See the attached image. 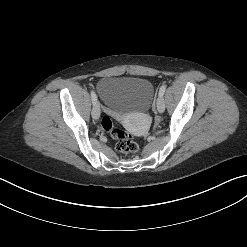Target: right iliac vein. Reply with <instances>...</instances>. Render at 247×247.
Instances as JSON below:
<instances>
[{
  "label": "right iliac vein",
  "instance_id": "obj_1",
  "mask_svg": "<svg viewBox=\"0 0 247 247\" xmlns=\"http://www.w3.org/2000/svg\"><path fill=\"white\" fill-rule=\"evenodd\" d=\"M92 117L96 120L99 119V117H100V106L97 102L93 106Z\"/></svg>",
  "mask_w": 247,
  "mask_h": 247
}]
</instances>
